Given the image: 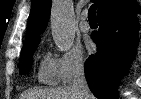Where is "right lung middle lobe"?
Masks as SVG:
<instances>
[{
  "label": "right lung middle lobe",
  "instance_id": "right-lung-middle-lobe-1",
  "mask_svg": "<svg viewBox=\"0 0 141 99\" xmlns=\"http://www.w3.org/2000/svg\"><path fill=\"white\" fill-rule=\"evenodd\" d=\"M39 42L25 44L21 51L19 72L21 75L29 73L32 55Z\"/></svg>",
  "mask_w": 141,
  "mask_h": 99
}]
</instances>
